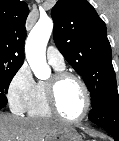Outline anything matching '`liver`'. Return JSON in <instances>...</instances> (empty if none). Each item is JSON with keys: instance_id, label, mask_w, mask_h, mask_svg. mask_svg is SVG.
Wrapping results in <instances>:
<instances>
[{"instance_id": "6515ba94", "label": "liver", "mask_w": 119, "mask_h": 141, "mask_svg": "<svg viewBox=\"0 0 119 141\" xmlns=\"http://www.w3.org/2000/svg\"><path fill=\"white\" fill-rule=\"evenodd\" d=\"M62 127L52 120L0 114V141H44Z\"/></svg>"}]
</instances>
